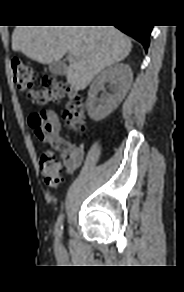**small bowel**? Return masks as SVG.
I'll return each mask as SVG.
<instances>
[{"mask_svg": "<svg viewBox=\"0 0 184 292\" xmlns=\"http://www.w3.org/2000/svg\"><path fill=\"white\" fill-rule=\"evenodd\" d=\"M58 139L62 140L59 136ZM83 158V146H75L67 156L62 158V164L68 173H73L81 165Z\"/></svg>", "mask_w": 184, "mask_h": 292, "instance_id": "small-bowel-1", "label": "small bowel"}]
</instances>
